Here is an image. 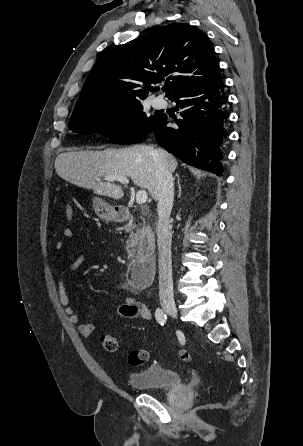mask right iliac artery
<instances>
[{"label":"right iliac artery","mask_w":303,"mask_h":446,"mask_svg":"<svg viewBox=\"0 0 303 446\" xmlns=\"http://www.w3.org/2000/svg\"><path fill=\"white\" fill-rule=\"evenodd\" d=\"M155 318H156L157 322H158L160 325H164L165 322H166V320H167V316H166V314H165V313L163 312V310L160 309V308H157V309H156V311H155Z\"/></svg>","instance_id":"1"}]
</instances>
